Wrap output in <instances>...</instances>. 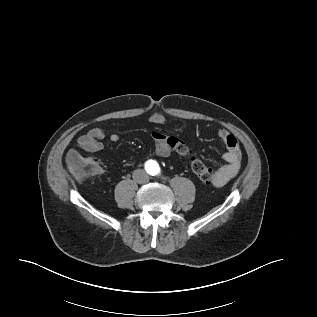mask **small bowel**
Masks as SVG:
<instances>
[{
  "label": "small bowel",
  "mask_w": 317,
  "mask_h": 317,
  "mask_svg": "<svg viewBox=\"0 0 317 317\" xmlns=\"http://www.w3.org/2000/svg\"><path fill=\"white\" fill-rule=\"evenodd\" d=\"M149 120L155 124H165L166 117L161 111L155 110L149 117ZM155 138V150L158 156L168 157L173 153L181 154L186 150L187 145L180 139L166 137L159 132L153 134ZM106 137L104 129L100 127L91 128L86 134L78 139V148L85 154L91 156L93 153L101 151L104 148L103 139ZM219 139L226 146V152L223 159L226 164L220 167L214 174L213 185L220 187L236 176L241 167L242 153L237 138L227 130L221 129L218 132ZM111 142L119 141V135L112 133L108 135ZM82 157L79 151L71 150L68 153L67 160L71 163L75 158ZM102 171V169H100Z\"/></svg>",
  "instance_id": "small-bowel-1"
}]
</instances>
